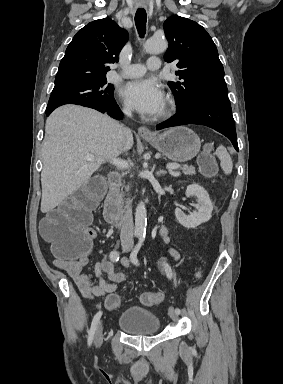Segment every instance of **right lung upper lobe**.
<instances>
[{"label": "right lung upper lobe", "instance_id": "obj_1", "mask_svg": "<svg viewBox=\"0 0 283 384\" xmlns=\"http://www.w3.org/2000/svg\"><path fill=\"white\" fill-rule=\"evenodd\" d=\"M128 33L109 18L95 20L77 32L68 45L55 78V87L106 79L108 64L118 54Z\"/></svg>", "mask_w": 283, "mask_h": 384}]
</instances>
